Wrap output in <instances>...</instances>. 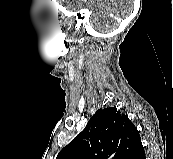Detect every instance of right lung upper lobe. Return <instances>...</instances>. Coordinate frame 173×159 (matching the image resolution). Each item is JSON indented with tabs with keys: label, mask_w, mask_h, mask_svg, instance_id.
Listing matches in <instances>:
<instances>
[{
	"label": "right lung upper lobe",
	"mask_w": 173,
	"mask_h": 159,
	"mask_svg": "<svg viewBox=\"0 0 173 159\" xmlns=\"http://www.w3.org/2000/svg\"><path fill=\"white\" fill-rule=\"evenodd\" d=\"M143 149L128 117L109 107L99 109L56 159H132Z\"/></svg>",
	"instance_id": "cb5924a9"
}]
</instances>
